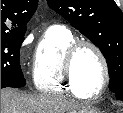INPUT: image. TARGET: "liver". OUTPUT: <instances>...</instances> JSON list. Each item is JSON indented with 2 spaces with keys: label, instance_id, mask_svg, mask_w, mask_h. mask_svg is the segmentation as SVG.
<instances>
[{
  "label": "liver",
  "instance_id": "6515ba94",
  "mask_svg": "<svg viewBox=\"0 0 123 113\" xmlns=\"http://www.w3.org/2000/svg\"><path fill=\"white\" fill-rule=\"evenodd\" d=\"M84 106L61 95H31L1 89V113H75Z\"/></svg>",
  "mask_w": 123,
  "mask_h": 113
}]
</instances>
